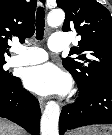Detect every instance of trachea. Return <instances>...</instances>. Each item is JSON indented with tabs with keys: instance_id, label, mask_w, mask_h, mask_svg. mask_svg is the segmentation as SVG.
I'll return each mask as SVG.
<instances>
[{
	"instance_id": "1",
	"label": "trachea",
	"mask_w": 112,
	"mask_h": 135,
	"mask_svg": "<svg viewBox=\"0 0 112 135\" xmlns=\"http://www.w3.org/2000/svg\"><path fill=\"white\" fill-rule=\"evenodd\" d=\"M36 38L37 40L43 39L45 27V12L42 7H38L36 14Z\"/></svg>"
}]
</instances>
